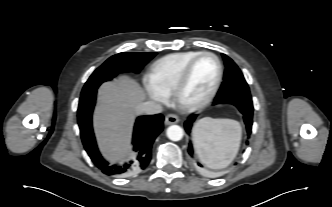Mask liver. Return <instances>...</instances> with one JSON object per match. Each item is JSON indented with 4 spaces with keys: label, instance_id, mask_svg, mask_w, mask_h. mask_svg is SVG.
I'll list each match as a JSON object with an SVG mask.
<instances>
[{
    "label": "liver",
    "instance_id": "6515ba94",
    "mask_svg": "<svg viewBox=\"0 0 332 207\" xmlns=\"http://www.w3.org/2000/svg\"><path fill=\"white\" fill-rule=\"evenodd\" d=\"M98 93L94 128L99 147L108 160H125L131 154L134 112L145 94L139 83L127 76L104 83Z\"/></svg>",
    "mask_w": 332,
    "mask_h": 207
}]
</instances>
